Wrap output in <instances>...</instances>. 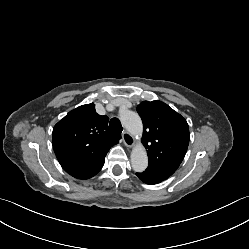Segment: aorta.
Wrapping results in <instances>:
<instances>
[{
  "label": "aorta",
  "instance_id": "1",
  "mask_svg": "<svg viewBox=\"0 0 249 249\" xmlns=\"http://www.w3.org/2000/svg\"><path fill=\"white\" fill-rule=\"evenodd\" d=\"M122 125L132 134L139 136L143 131V124L139 115L130 110L120 112ZM131 165L135 172H143L148 166V156L143 145L136 146L131 152Z\"/></svg>",
  "mask_w": 249,
  "mask_h": 249
}]
</instances>
